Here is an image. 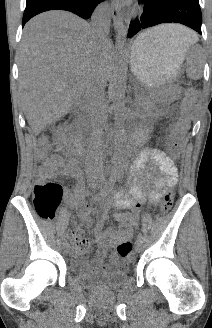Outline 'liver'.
<instances>
[{"label": "liver", "instance_id": "1", "mask_svg": "<svg viewBox=\"0 0 212 328\" xmlns=\"http://www.w3.org/2000/svg\"><path fill=\"white\" fill-rule=\"evenodd\" d=\"M146 33L182 49L198 39L193 31L176 24ZM111 68L112 44L94 35L88 22L65 11H48L31 19L19 49V83L22 108L34 134L79 102L93 74L98 73L105 83Z\"/></svg>", "mask_w": 212, "mask_h": 328}]
</instances>
